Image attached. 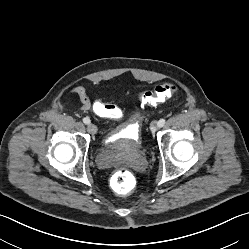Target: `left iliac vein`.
Returning a JSON list of instances; mask_svg holds the SVG:
<instances>
[{"label":"left iliac vein","mask_w":249,"mask_h":249,"mask_svg":"<svg viewBox=\"0 0 249 249\" xmlns=\"http://www.w3.org/2000/svg\"><path fill=\"white\" fill-rule=\"evenodd\" d=\"M157 129H158V123L156 121L151 122V124H150L151 132L154 133V132H156Z\"/></svg>","instance_id":"left-iliac-vein-1"}]
</instances>
